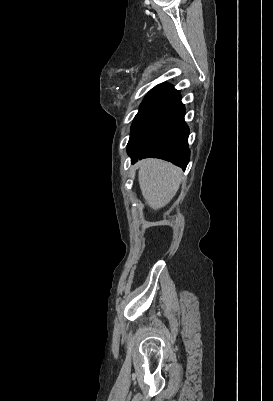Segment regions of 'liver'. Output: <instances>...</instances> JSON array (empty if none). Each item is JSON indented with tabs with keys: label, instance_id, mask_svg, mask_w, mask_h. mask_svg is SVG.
<instances>
[{
	"label": "liver",
	"instance_id": "liver-1",
	"mask_svg": "<svg viewBox=\"0 0 273 401\" xmlns=\"http://www.w3.org/2000/svg\"><path fill=\"white\" fill-rule=\"evenodd\" d=\"M138 164V180L147 205L154 211L162 209L170 203L180 186L181 168L158 158H145Z\"/></svg>",
	"mask_w": 273,
	"mask_h": 401
}]
</instances>
